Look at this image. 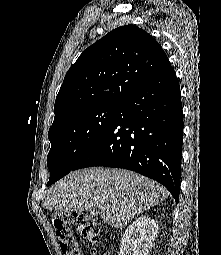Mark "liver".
Instances as JSON below:
<instances>
[{"label":"liver","instance_id":"1","mask_svg":"<svg viewBox=\"0 0 221 255\" xmlns=\"http://www.w3.org/2000/svg\"><path fill=\"white\" fill-rule=\"evenodd\" d=\"M167 196L163 186L135 172L93 167L71 172L57 182L46 192L43 206L62 213L98 208L105 223L121 229Z\"/></svg>","mask_w":221,"mask_h":255}]
</instances>
